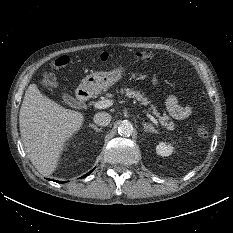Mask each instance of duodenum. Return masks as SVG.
<instances>
[{
    "label": "duodenum",
    "mask_w": 233,
    "mask_h": 233,
    "mask_svg": "<svg viewBox=\"0 0 233 233\" xmlns=\"http://www.w3.org/2000/svg\"><path fill=\"white\" fill-rule=\"evenodd\" d=\"M88 99V93L86 91H82L79 95H78V100L80 102H85Z\"/></svg>",
    "instance_id": "410a0bca"
}]
</instances>
